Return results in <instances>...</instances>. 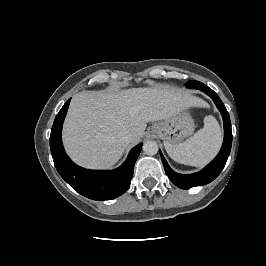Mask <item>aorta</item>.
Here are the masks:
<instances>
[{
    "mask_svg": "<svg viewBox=\"0 0 266 266\" xmlns=\"http://www.w3.org/2000/svg\"><path fill=\"white\" fill-rule=\"evenodd\" d=\"M143 151L147 155H155L158 152V144L156 141L150 140L143 144Z\"/></svg>",
    "mask_w": 266,
    "mask_h": 266,
    "instance_id": "aorta-1",
    "label": "aorta"
}]
</instances>
